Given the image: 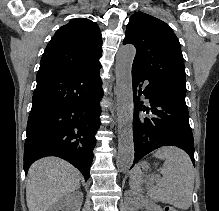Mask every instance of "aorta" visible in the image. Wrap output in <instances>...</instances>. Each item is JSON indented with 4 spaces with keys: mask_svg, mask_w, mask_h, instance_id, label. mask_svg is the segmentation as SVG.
Returning <instances> with one entry per match:
<instances>
[{
    "mask_svg": "<svg viewBox=\"0 0 219 211\" xmlns=\"http://www.w3.org/2000/svg\"><path fill=\"white\" fill-rule=\"evenodd\" d=\"M136 54L133 45L119 48L116 55V97L118 118L117 168L127 172L134 160L132 64Z\"/></svg>",
    "mask_w": 219,
    "mask_h": 211,
    "instance_id": "obj_1",
    "label": "aorta"
}]
</instances>
